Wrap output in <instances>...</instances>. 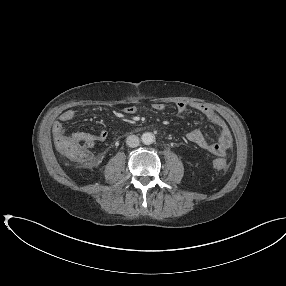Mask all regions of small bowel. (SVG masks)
<instances>
[{
  "label": "small bowel",
  "instance_id": "c3829d8e",
  "mask_svg": "<svg viewBox=\"0 0 286 286\" xmlns=\"http://www.w3.org/2000/svg\"><path fill=\"white\" fill-rule=\"evenodd\" d=\"M165 107V104L161 102H156L152 105L153 110L157 112L163 111ZM189 108L205 115L210 122L219 128L220 136L216 142H212L199 129H193L187 134V139L203 150L216 155H225L233 144L232 134L226 122L204 103H186L181 101L175 104V110L179 114L185 113ZM124 112L128 115H133L137 112V107L134 105L127 106L124 108ZM74 118L75 111L72 109H67L60 114L59 121H56L52 127V133L55 139L59 135L65 134V129L62 123H69L73 121ZM75 134L84 138V144L87 148H93L95 143L103 142L108 137L106 130H101L97 133L77 132Z\"/></svg>",
  "mask_w": 286,
  "mask_h": 286
}]
</instances>
